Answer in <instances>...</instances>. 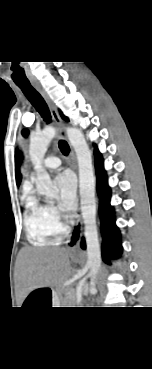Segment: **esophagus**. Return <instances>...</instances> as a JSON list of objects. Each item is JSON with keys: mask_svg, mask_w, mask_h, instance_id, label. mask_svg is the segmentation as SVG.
Returning <instances> with one entry per match:
<instances>
[{"mask_svg": "<svg viewBox=\"0 0 152 369\" xmlns=\"http://www.w3.org/2000/svg\"><path fill=\"white\" fill-rule=\"evenodd\" d=\"M32 85L41 94V96L46 101L54 121L60 127L61 136L63 138H66V131H65V128H64V124H63V121H62V119L59 115V112H58L55 104L53 103V101L51 100V98L49 97V95L47 94V92L41 86L40 83L32 82ZM70 149H71L72 160H73V162L76 166L75 152H74V150L71 146H70ZM81 231H82V219H81V217H78V219L76 221V224H75V227L73 228V230H72L71 234L69 235V238L67 239V242H66V246L68 248H70L71 250H75V249L79 248V244H80V240H81Z\"/></svg>", "mask_w": 152, "mask_h": 369, "instance_id": "34e87169", "label": "esophagus"}]
</instances>
